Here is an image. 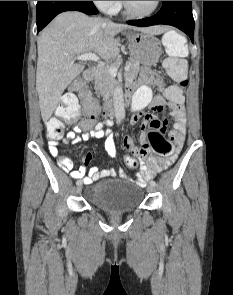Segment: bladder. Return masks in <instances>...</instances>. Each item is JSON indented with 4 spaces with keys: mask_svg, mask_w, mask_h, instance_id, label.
Masks as SVG:
<instances>
[{
    "mask_svg": "<svg viewBox=\"0 0 233 295\" xmlns=\"http://www.w3.org/2000/svg\"><path fill=\"white\" fill-rule=\"evenodd\" d=\"M86 196L94 205L107 212L122 213L140 205L143 190L125 180L109 179L89 186Z\"/></svg>",
    "mask_w": 233,
    "mask_h": 295,
    "instance_id": "obj_1",
    "label": "bladder"
}]
</instances>
